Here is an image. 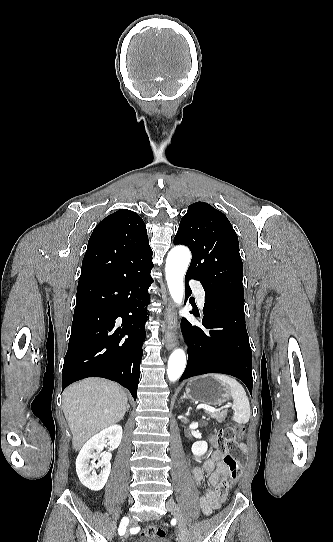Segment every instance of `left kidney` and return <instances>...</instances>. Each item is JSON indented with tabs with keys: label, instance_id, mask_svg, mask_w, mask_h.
<instances>
[{
	"label": "left kidney",
	"instance_id": "left-kidney-1",
	"mask_svg": "<svg viewBox=\"0 0 333 542\" xmlns=\"http://www.w3.org/2000/svg\"><path fill=\"white\" fill-rule=\"evenodd\" d=\"M207 448V442H195L191 448L192 454H194V456H203V454H206Z\"/></svg>",
	"mask_w": 333,
	"mask_h": 542
}]
</instances>
